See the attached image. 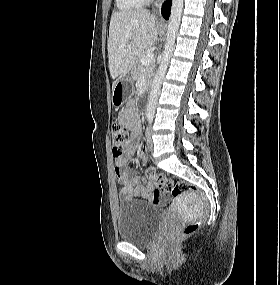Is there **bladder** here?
I'll use <instances>...</instances> for the list:
<instances>
[{"label":"bladder","mask_w":280,"mask_h":285,"mask_svg":"<svg viewBox=\"0 0 280 285\" xmlns=\"http://www.w3.org/2000/svg\"><path fill=\"white\" fill-rule=\"evenodd\" d=\"M162 219L163 210L154 204L124 201L118 208V236L135 244H149L157 236Z\"/></svg>","instance_id":"obj_1"}]
</instances>
